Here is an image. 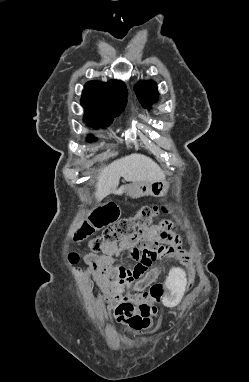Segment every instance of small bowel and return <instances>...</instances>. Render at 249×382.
I'll use <instances>...</instances> for the list:
<instances>
[{"label":"small bowel","instance_id":"c3829d8e","mask_svg":"<svg viewBox=\"0 0 249 382\" xmlns=\"http://www.w3.org/2000/svg\"><path fill=\"white\" fill-rule=\"evenodd\" d=\"M180 242L179 235L174 231V223L164 219L154 226L138 231L135 240L109 244L100 254L88 253L84 256L93 283L101 292L111 311L112 319L134 330L149 329L152 326V317L155 315L152 312L156 309L154 304L157 305L161 301L153 299L144 292L152 282L132 278L127 274L129 268L115 265L120 253L128 250L132 255L131 261L139 262L143 254L139 248L159 246L173 253L179 249ZM127 291L131 295H125Z\"/></svg>","mask_w":249,"mask_h":382}]
</instances>
